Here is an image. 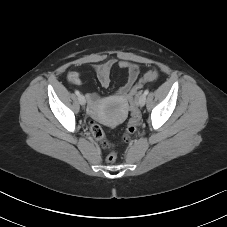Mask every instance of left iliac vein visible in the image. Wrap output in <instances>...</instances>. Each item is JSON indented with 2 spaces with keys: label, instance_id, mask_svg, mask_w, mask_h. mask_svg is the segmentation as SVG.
Listing matches in <instances>:
<instances>
[{
  "label": "left iliac vein",
  "instance_id": "left-iliac-vein-1",
  "mask_svg": "<svg viewBox=\"0 0 227 227\" xmlns=\"http://www.w3.org/2000/svg\"><path fill=\"white\" fill-rule=\"evenodd\" d=\"M146 103V96L142 94L138 99V104L140 107H143Z\"/></svg>",
  "mask_w": 227,
  "mask_h": 227
}]
</instances>
